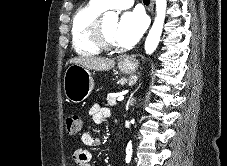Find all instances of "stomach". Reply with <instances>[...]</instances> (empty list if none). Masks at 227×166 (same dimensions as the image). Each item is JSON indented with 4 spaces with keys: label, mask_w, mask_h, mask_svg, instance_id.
Here are the masks:
<instances>
[{
    "label": "stomach",
    "mask_w": 227,
    "mask_h": 166,
    "mask_svg": "<svg viewBox=\"0 0 227 166\" xmlns=\"http://www.w3.org/2000/svg\"><path fill=\"white\" fill-rule=\"evenodd\" d=\"M138 63L134 60L120 61L118 68L124 74L136 71ZM94 81L88 69L79 65H70L64 74V92L67 99L73 103L84 101L92 92Z\"/></svg>",
    "instance_id": "stomach-1"
}]
</instances>
